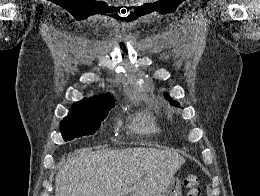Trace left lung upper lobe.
I'll return each instance as SVG.
<instances>
[{
  "instance_id": "1",
  "label": "left lung upper lobe",
  "mask_w": 260,
  "mask_h": 196,
  "mask_svg": "<svg viewBox=\"0 0 260 196\" xmlns=\"http://www.w3.org/2000/svg\"><path fill=\"white\" fill-rule=\"evenodd\" d=\"M166 98L169 99L171 101V104L176 106V107H179V104L176 102V101H172L171 98L169 97V95L166 94Z\"/></svg>"
}]
</instances>
